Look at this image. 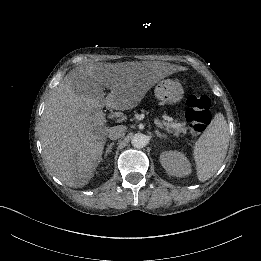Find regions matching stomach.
<instances>
[{
	"label": "stomach",
	"instance_id": "1",
	"mask_svg": "<svg viewBox=\"0 0 261 261\" xmlns=\"http://www.w3.org/2000/svg\"><path fill=\"white\" fill-rule=\"evenodd\" d=\"M155 96L164 103L176 104L183 100L185 89L179 81L166 79L156 86Z\"/></svg>",
	"mask_w": 261,
	"mask_h": 261
}]
</instances>
